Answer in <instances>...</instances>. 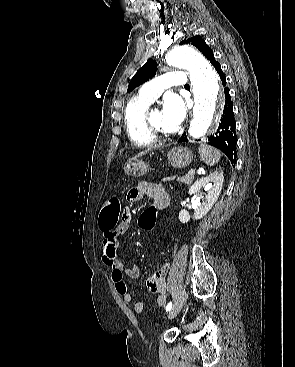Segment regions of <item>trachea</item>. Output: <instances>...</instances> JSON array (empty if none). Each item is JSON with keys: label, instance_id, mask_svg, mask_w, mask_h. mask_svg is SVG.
Here are the masks:
<instances>
[{"label": "trachea", "instance_id": "trachea-1", "mask_svg": "<svg viewBox=\"0 0 295 367\" xmlns=\"http://www.w3.org/2000/svg\"><path fill=\"white\" fill-rule=\"evenodd\" d=\"M185 87H187V88H188V87H190V86H189V84H186V85H185Z\"/></svg>", "mask_w": 295, "mask_h": 367}]
</instances>
